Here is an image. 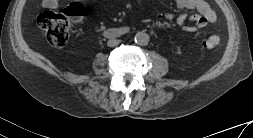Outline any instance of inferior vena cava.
Returning <instances> with one entry per match:
<instances>
[{"mask_svg": "<svg viewBox=\"0 0 253 138\" xmlns=\"http://www.w3.org/2000/svg\"><path fill=\"white\" fill-rule=\"evenodd\" d=\"M119 43H120V40L118 39H110L108 40L107 45L109 47H114V46H117Z\"/></svg>", "mask_w": 253, "mask_h": 138, "instance_id": "inferior-vena-cava-1", "label": "inferior vena cava"}]
</instances>
